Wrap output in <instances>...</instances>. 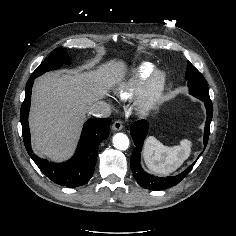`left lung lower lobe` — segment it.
I'll list each match as a JSON object with an SVG mask.
<instances>
[{
	"mask_svg": "<svg viewBox=\"0 0 236 236\" xmlns=\"http://www.w3.org/2000/svg\"><path fill=\"white\" fill-rule=\"evenodd\" d=\"M202 101H204L207 110V120L204 131V148H205L209 138L210 123L213 116V106L211 100H202ZM147 130H148V123L145 120L136 121L131 126L130 133L134 140V144L136 145V147H134L130 161V166L133 171L134 177L142 187L150 190H163L175 186L191 171L196 161L193 164H191L184 172L174 177H157L147 174L146 172L143 171L140 165V152L142 150V145L145 136L147 134Z\"/></svg>",
	"mask_w": 236,
	"mask_h": 236,
	"instance_id": "left-lung-lower-lobe-1",
	"label": "left lung lower lobe"
}]
</instances>
